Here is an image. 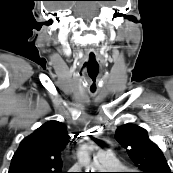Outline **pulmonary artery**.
Here are the masks:
<instances>
[{
    "instance_id": "pulmonary-artery-1",
    "label": "pulmonary artery",
    "mask_w": 173,
    "mask_h": 173,
    "mask_svg": "<svg viewBox=\"0 0 173 173\" xmlns=\"http://www.w3.org/2000/svg\"><path fill=\"white\" fill-rule=\"evenodd\" d=\"M95 160L108 168H112L115 163V157L110 150H101L97 152Z\"/></svg>"
}]
</instances>
